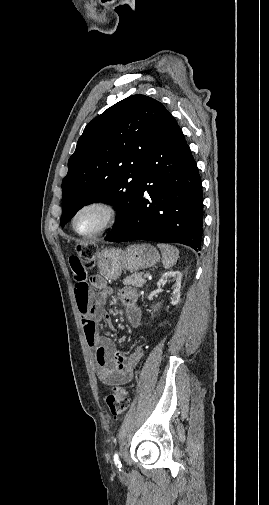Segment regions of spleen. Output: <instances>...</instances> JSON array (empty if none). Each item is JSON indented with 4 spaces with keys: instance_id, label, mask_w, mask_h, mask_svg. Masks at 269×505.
Returning <instances> with one entry per match:
<instances>
[{
    "instance_id": "1",
    "label": "spleen",
    "mask_w": 269,
    "mask_h": 505,
    "mask_svg": "<svg viewBox=\"0 0 269 505\" xmlns=\"http://www.w3.org/2000/svg\"><path fill=\"white\" fill-rule=\"evenodd\" d=\"M157 247L160 249L162 253V263L166 269L171 268L177 262L179 257V250L169 244L158 243Z\"/></svg>"
}]
</instances>
